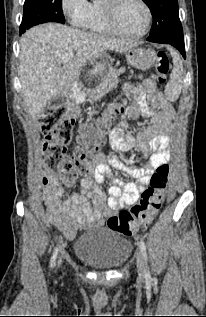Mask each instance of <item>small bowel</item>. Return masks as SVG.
I'll return each instance as SVG.
<instances>
[{"label": "small bowel", "instance_id": "1", "mask_svg": "<svg viewBox=\"0 0 206 317\" xmlns=\"http://www.w3.org/2000/svg\"><path fill=\"white\" fill-rule=\"evenodd\" d=\"M127 117L147 118V127L136 137L124 134L116 127L109 136L115 150H129L137 147L140 153L149 158L148 163L140 166L126 165L115 156L99 154L88 177L79 179L80 193H73L62 200L63 190L55 189L44 198L47 218L68 238H73L81 228L88 225H103L116 211L135 204L140 193L147 187L153 172L167 164L170 159L169 134L174 110L158 90L152 79H145L136 86L135 98L127 109ZM109 164L137 180L123 182L112 172ZM108 179V196L102 184ZM76 180L67 183L73 185Z\"/></svg>", "mask_w": 206, "mask_h": 317}]
</instances>
